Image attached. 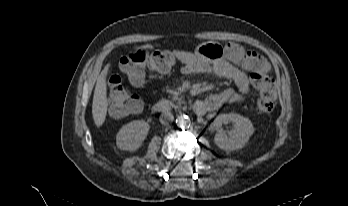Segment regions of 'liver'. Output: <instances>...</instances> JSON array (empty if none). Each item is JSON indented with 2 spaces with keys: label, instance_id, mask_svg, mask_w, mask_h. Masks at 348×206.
I'll use <instances>...</instances> for the list:
<instances>
[{
  "label": "liver",
  "instance_id": "obj_1",
  "mask_svg": "<svg viewBox=\"0 0 348 206\" xmlns=\"http://www.w3.org/2000/svg\"><path fill=\"white\" fill-rule=\"evenodd\" d=\"M106 77L107 70H104L97 79L93 96L92 115L97 127H100L104 123L107 114L108 101Z\"/></svg>",
  "mask_w": 348,
  "mask_h": 206
}]
</instances>
